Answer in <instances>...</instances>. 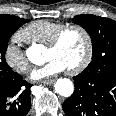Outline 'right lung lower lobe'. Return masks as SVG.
I'll return each mask as SVG.
<instances>
[{
    "label": "right lung lower lobe",
    "mask_w": 116,
    "mask_h": 116,
    "mask_svg": "<svg viewBox=\"0 0 116 116\" xmlns=\"http://www.w3.org/2000/svg\"><path fill=\"white\" fill-rule=\"evenodd\" d=\"M31 86L19 74L10 82L0 83V116H25L31 108Z\"/></svg>",
    "instance_id": "1"
}]
</instances>
